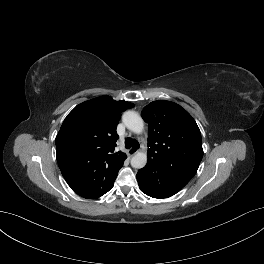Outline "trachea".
<instances>
[{
  "mask_svg": "<svg viewBox=\"0 0 264 264\" xmlns=\"http://www.w3.org/2000/svg\"><path fill=\"white\" fill-rule=\"evenodd\" d=\"M125 147L127 149L133 147V148H139V143L138 141L131 139V138H127L125 139Z\"/></svg>",
  "mask_w": 264,
  "mask_h": 264,
  "instance_id": "1",
  "label": "trachea"
}]
</instances>
